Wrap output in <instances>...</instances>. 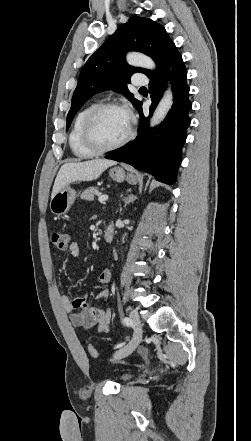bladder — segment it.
Returning a JSON list of instances; mask_svg holds the SVG:
<instances>
[{"instance_id": "bladder-1", "label": "bladder", "mask_w": 251, "mask_h": 441, "mask_svg": "<svg viewBox=\"0 0 251 441\" xmlns=\"http://www.w3.org/2000/svg\"><path fill=\"white\" fill-rule=\"evenodd\" d=\"M134 377L133 373L127 372V373H122L118 376V380L120 382H126L131 380Z\"/></svg>"}]
</instances>
